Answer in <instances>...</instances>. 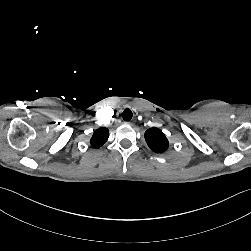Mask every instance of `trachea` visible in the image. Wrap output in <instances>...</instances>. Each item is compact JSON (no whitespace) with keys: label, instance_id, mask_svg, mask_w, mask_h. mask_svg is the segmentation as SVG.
Here are the masks:
<instances>
[{"label":"trachea","instance_id":"1","mask_svg":"<svg viewBox=\"0 0 251 251\" xmlns=\"http://www.w3.org/2000/svg\"><path fill=\"white\" fill-rule=\"evenodd\" d=\"M132 111L130 109H125L122 113V117L125 121H130L132 119Z\"/></svg>","mask_w":251,"mask_h":251}]
</instances>
